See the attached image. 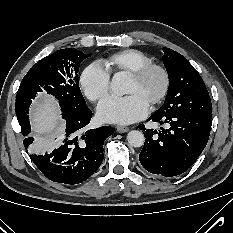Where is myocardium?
I'll return each mask as SVG.
<instances>
[{
    "mask_svg": "<svg viewBox=\"0 0 233 233\" xmlns=\"http://www.w3.org/2000/svg\"><path fill=\"white\" fill-rule=\"evenodd\" d=\"M153 71H157L160 73L162 77V87L158 95L149 103V106L151 107L161 104L168 95L171 85V77L168 69L163 65L151 63L144 65L129 74V78H131L132 80L141 81Z\"/></svg>",
    "mask_w": 233,
    "mask_h": 233,
    "instance_id": "obj_1",
    "label": "myocardium"
}]
</instances>
